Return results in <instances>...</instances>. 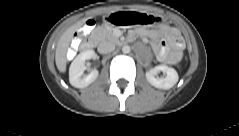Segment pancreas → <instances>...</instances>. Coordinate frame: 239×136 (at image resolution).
<instances>
[{"label": "pancreas", "instance_id": "1", "mask_svg": "<svg viewBox=\"0 0 239 136\" xmlns=\"http://www.w3.org/2000/svg\"><path fill=\"white\" fill-rule=\"evenodd\" d=\"M91 37L99 41H103V40H111L115 42L118 41V38L113 34V31L106 27L96 28L91 34Z\"/></svg>", "mask_w": 239, "mask_h": 136}]
</instances>
